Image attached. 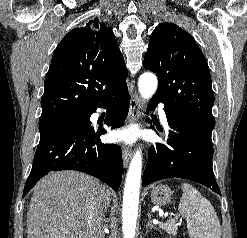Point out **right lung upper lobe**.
<instances>
[{"label":"right lung upper lobe","instance_id":"1","mask_svg":"<svg viewBox=\"0 0 247 238\" xmlns=\"http://www.w3.org/2000/svg\"><path fill=\"white\" fill-rule=\"evenodd\" d=\"M127 75L113 31L103 22L71 30L52 56L39 121L95 107L126 85Z\"/></svg>","mask_w":247,"mask_h":238}]
</instances>
